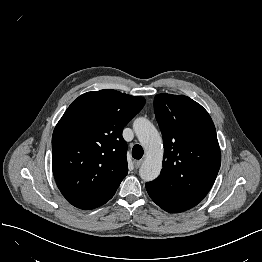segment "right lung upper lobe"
<instances>
[{"mask_svg":"<svg viewBox=\"0 0 262 262\" xmlns=\"http://www.w3.org/2000/svg\"><path fill=\"white\" fill-rule=\"evenodd\" d=\"M144 104L105 89L79 96L65 111L52 136V168L73 206L90 210L113 197L128 172L122 131Z\"/></svg>","mask_w":262,"mask_h":262,"instance_id":"1","label":"right lung upper lobe"}]
</instances>
